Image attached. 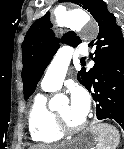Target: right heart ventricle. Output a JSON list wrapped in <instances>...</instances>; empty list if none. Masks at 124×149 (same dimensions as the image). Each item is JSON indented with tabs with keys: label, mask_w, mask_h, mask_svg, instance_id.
<instances>
[{
	"label": "right heart ventricle",
	"mask_w": 124,
	"mask_h": 149,
	"mask_svg": "<svg viewBox=\"0 0 124 149\" xmlns=\"http://www.w3.org/2000/svg\"><path fill=\"white\" fill-rule=\"evenodd\" d=\"M28 128L31 139L36 143L52 144L63 137L55 126L47 94H39L35 98L28 113Z\"/></svg>",
	"instance_id": "e07e8e85"
}]
</instances>
